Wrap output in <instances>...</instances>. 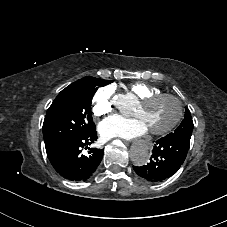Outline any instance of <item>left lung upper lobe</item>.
<instances>
[{"mask_svg": "<svg viewBox=\"0 0 227 227\" xmlns=\"http://www.w3.org/2000/svg\"><path fill=\"white\" fill-rule=\"evenodd\" d=\"M193 126L194 125L190 111L186 108L185 118L183 119L179 127L173 133H170L167 136L190 140Z\"/></svg>", "mask_w": 227, "mask_h": 227, "instance_id": "left-lung-upper-lobe-1", "label": "left lung upper lobe"}]
</instances>
